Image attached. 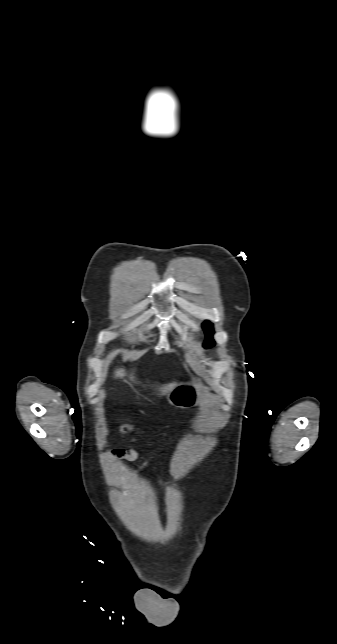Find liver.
<instances>
[{
    "mask_svg": "<svg viewBox=\"0 0 337 644\" xmlns=\"http://www.w3.org/2000/svg\"><path fill=\"white\" fill-rule=\"evenodd\" d=\"M124 375H125V370H124V369H117V370L115 371V377H122V376H124ZM130 379H131V380H133V379H134V377H133V376H131V377H130ZM176 385H177V383H176V382H173V383H169V384H167V385L163 386V387L161 388V392H162V394H163V395H165V394L169 393L170 391H172V390L174 389V387H175Z\"/></svg>",
    "mask_w": 337,
    "mask_h": 644,
    "instance_id": "obj_1",
    "label": "liver"
}]
</instances>
